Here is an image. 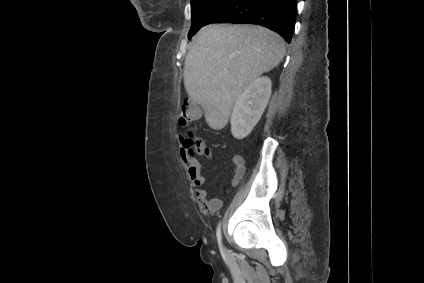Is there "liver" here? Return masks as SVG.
Segmentation results:
<instances>
[{
    "instance_id": "liver-1",
    "label": "liver",
    "mask_w": 424,
    "mask_h": 283,
    "mask_svg": "<svg viewBox=\"0 0 424 283\" xmlns=\"http://www.w3.org/2000/svg\"><path fill=\"white\" fill-rule=\"evenodd\" d=\"M285 55L282 37L263 26L210 24L193 38L184 63L189 97L205 112L214 130L224 128L234 102Z\"/></svg>"
}]
</instances>
